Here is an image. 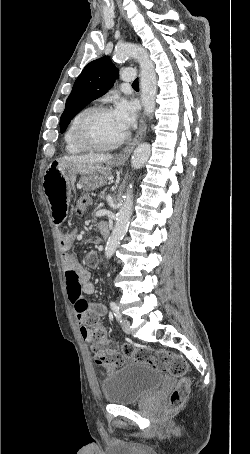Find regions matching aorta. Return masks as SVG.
I'll return each instance as SVG.
<instances>
[{
	"label": "aorta",
	"instance_id": "obj_1",
	"mask_svg": "<svg viewBox=\"0 0 250 454\" xmlns=\"http://www.w3.org/2000/svg\"><path fill=\"white\" fill-rule=\"evenodd\" d=\"M129 57L137 59L140 65V86H141V103L147 116L152 119L155 111V99L157 94V77L155 67L149 57V53L140 45L126 42L119 45L114 53L117 61H123ZM151 155V146L148 143H142L136 147L131 158L133 169H140L144 166ZM132 186L127 189L124 196V203L116 216L114 229L107 241L105 247L106 258H111L117 249L120 241L127 232L129 221L132 214L133 205Z\"/></svg>",
	"mask_w": 250,
	"mask_h": 454
}]
</instances>
